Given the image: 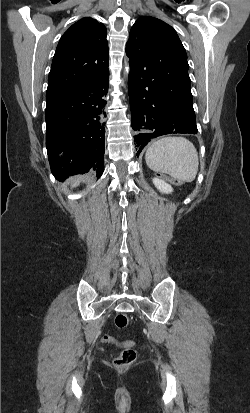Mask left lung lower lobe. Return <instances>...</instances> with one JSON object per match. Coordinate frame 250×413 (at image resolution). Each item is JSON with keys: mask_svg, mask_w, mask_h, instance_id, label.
<instances>
[{"mask_svg": "<svg viewBox=\"0 0 250 413\" xmlns=\"http://www.w3.org/2000/svg\"><path fill=\"white\" fill-rule=\"evenodd\" d=\"M151 42L126 51L130 58L128 92L131 125L138 134V154L152 138L172 133H197L191 81L150 67Z\"/></svg>", "mask_w": 250, "mask_h": 413, "instance_id": "0a47b994", "label": "left lung lower lobe"}]
</instances>
